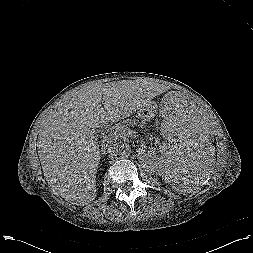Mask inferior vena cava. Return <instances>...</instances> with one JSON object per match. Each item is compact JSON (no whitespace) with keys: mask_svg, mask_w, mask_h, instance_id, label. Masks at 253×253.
Masks as SVG:
<instances>
[{"mask_svg":"<svg viewBox=\"0 0 253 253\" xmlns=\"http://www.w3.org/2000/svg\"><path fill=\"white\" fill-rule=\"evenodd\" d=\"M107 149L109 150V153L111 155H114L115 152H118V148L117 147H113V146H109V145H106Z\"/></svg>","mask_w":253,"mask_h":253,"instance_id":"inferior-vena-cava-1","label":"inferior vena cava"}]
</instances>
